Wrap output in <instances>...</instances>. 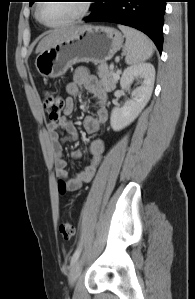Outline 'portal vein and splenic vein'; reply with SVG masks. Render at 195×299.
Segmentation results:
<instances>
[{"label": "portal vein and splenic vein", "instance_id": "1", "mask_svg": "<svg viewBox=\"0 0 195 299\" xmlns=\"http://www.w3.org/2000/svg\"><path fill=\"white\" fill-rule=\"evenodd\" d=\"M119 74H120V71H117V73H114L113 77L114 78H119Z\"/></svg>", "mask_w": 195, "mask_h": 299}]
</instances>
